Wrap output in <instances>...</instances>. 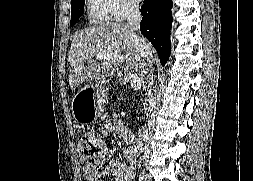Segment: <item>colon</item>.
Masks as SVG:
<instances>
[{
    "instance_id": "colon-1",
    "label": "colon",
    "mask_w": 253,
    "mask_h": 181,
    "mask_svg": "<svg viewBox=\"0 0 253 181\" xmlns=\"http://www.w3.org/2000/svg\"><path fill=\"white\" fill-rule=\"evenodd\" d=\"M79 154L84 170L94 172L105 160V143L97 134L86 133L80 139Z\"/></svg>"
}]
</instances>
